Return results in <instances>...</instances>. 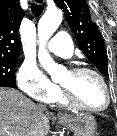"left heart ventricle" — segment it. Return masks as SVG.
I'll use <instances>...</instances> for the list:
<instances>
[{"mask_svg":"<svg viewBox=\"0 0 117 136\" xmlns=\"http://www.w3.org/2000/svg\"><path fill=\"white\" fill-rule=\"evenodd\" d=\"M60 84L69 89L79 103L87 107L101 108L105 105V90L93 74H72L68 71L63 75Z\"/></svg>","mask_w":117,"mask_h":136,"instance_id":"1","label":"left heart ventricle"}]
</instances>
